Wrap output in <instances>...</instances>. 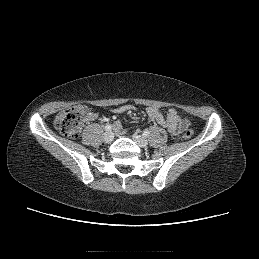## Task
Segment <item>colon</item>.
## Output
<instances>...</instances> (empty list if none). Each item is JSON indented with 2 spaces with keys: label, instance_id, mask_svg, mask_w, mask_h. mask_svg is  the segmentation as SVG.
I'll use <instances>...</instances> for the list:
<instances>
[{
  "label": "colon",
  "instance_id": "5ec220e1",
  "mask_svg": "<svg viewBox=\"0 0 259 259\" xmlns=\"http://www.w3.org/2000/svg\"><path fill=\"white\" fill-rule=\"evenodd\" d=\"M90 115V107L87 105H77L65 109L55 117V127L65 136L76 139L78 138L81 127ZM194 135L192 129H186L183 133L184 138L190 139Z\"/></svg>",
  "mask_w": 259,
  "mask_h": 259
}]
</instances>
